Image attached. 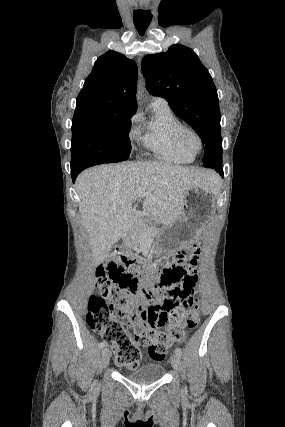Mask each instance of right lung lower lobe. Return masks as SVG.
Returning <instances> with one entry per match:
<instances>
[{
	"instance_id": "right-lung-lower-lobe-1",
	"label": "right lung lower lobe",
	"mask_w": 285,
	"mask_h": 427,
	"mask_svg": "<svg viewBox=\"0 0 285 427\" xmlns=\"http://www.w3.org/2000/svg\"><path fill=\"white\" fill-rule=\"evenodd\" d=\"M80 172H81V171H80ZM80 172H79V171H71V176H72L73 182L75 181V179H76L77 175H78Z\"/></svg>"
}]
</instances>
